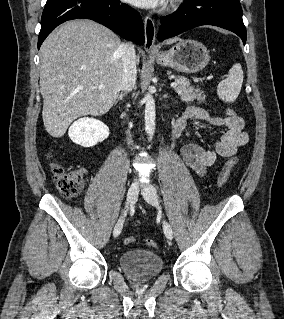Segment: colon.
<instances>
[{"label":"colon","mask_w":284,"mask_h":319,"mask_svg":"<svg viewBox=\"0 0 284 319\" xmlns=\"http://www.w3.org/2000/svg\"><path fill=\"white\" fill-rule=\"evenodd\" d=\"M226 114L228 117L237 116L235 111L232 109H228ZM236 164H237V158L235 157L229 158L227 160L219 176L218 183L220 187L224 186L228 182ZM52 171H53L54 180H55L57 189L59 190L62 196H64L65 198H73V197H76L81 192L83 187V176L80 172L78 171L66 172L64 168L58 164L53 165ZM134 242H135L134 237H127L124 240V243L126 245H131ZM146 244L149 247H153V248L156 247V243L151 239H147Z\"/></svg>","instance_id":"5ec220e1"}]
</instances>
